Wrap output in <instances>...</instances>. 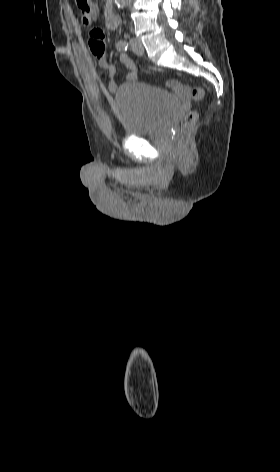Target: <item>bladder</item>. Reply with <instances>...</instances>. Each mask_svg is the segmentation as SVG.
<instances>
[{
    "label": "bladder",
    "mask_w": 280,
    "mask_h": 472,
    "mask_svg": "<svg viewBox=\"0 0 280 472\" xmlns=\"http://www.w3.org/2000/svg\"><path fill=\"white\" fill-rule=\"evenodd\" d=\"M179 106V101L169 92L140 82L123 83L115 92V108L130 137L156 131Z\"/></svg>",
    "instance_id": "obj_1"
}]
</instances>
